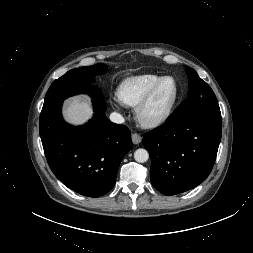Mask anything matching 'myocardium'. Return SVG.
<instances>
[{
	"label": "myocardium",
	"mask_w": 253,
	"mask_h": 253,
	"mask_svg": "<svg viewBox=\"0 0 253 253\" xmlns=\"http://www.w3.org/2000/svg\"><path fill=\"white\" fill-rule=\"evenodd\" d=\"M166 80H171L174 84V93L165 106V108L160 112L158 115L154 117L148 116L147 112L152 104L156 94L158 93L159 89L161 88L162 84ZM179 95V87L176 79L172 76H164L162 77L147 93V95L142 99V101L136 106V118L139 124L145 128H156L167 121L170 117L172 110L175 106V103L178 99Z\"/></svg>",
	"instance_id": "obj_1"
}]
</instances>
